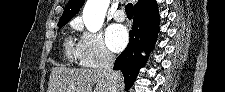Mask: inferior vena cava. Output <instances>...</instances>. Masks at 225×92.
Returning <instances> with one entry per match:
<instances>
[{"mask_svg":"<svg viewBox=\"0 0 225 92\" xmlns=\"http://www.w3.org/2000/svg\"><path fill=\"white\" fill-rule=\"evenodd\" d=\"M114 60V56L105 50L101 54V63L99 67L100 71L109 75L113 86L116 84L117 79V72L113 70Z\"/></svg>","mask_w":225,"mask_h":92,"instance_id":"obj_1","label":"inferior vena cava"}]
</instances>
